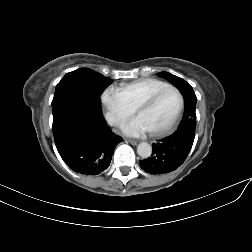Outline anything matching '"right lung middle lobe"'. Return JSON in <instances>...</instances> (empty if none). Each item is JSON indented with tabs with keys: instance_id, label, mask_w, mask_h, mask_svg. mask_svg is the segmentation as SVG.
Segmentation results:
<instances>
[{
	"instance_id": "1",
	"label": "right lung middle lobe",
	"mask_w": 252,
	"mask_h": 252,
	"mask_svg": "<svg viewBox=\"0 0 252 252\" xmlns=\"http://www.w3.org/2000/svg\"><path fill=\"white\" fill-rule=\"evenodd\" d=\"M112 82L109 77L88 68L69 72L56 86L52 109L74 105L101 113L100 96Z\"/></svg>"
}]
</instances>
